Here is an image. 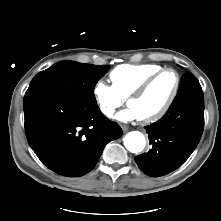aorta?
Listing matches in <instances>:
<instances>
[{"label": "aorta", "mask_w": 221, "mask_h": 221, "mask_svg": "<svg viewBox=\"0 0 221 221\" xmlns=\"http://www.w3.org/2000/svg\"><path fill=\"white\" fill-rule=\"evenodd\" d=\"M146 144L144 135L139 131L129 132L124 138L126 149L132 153L141 152Z\"/></svg>", "instance_id": "1"}]
</instances>
